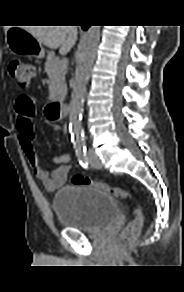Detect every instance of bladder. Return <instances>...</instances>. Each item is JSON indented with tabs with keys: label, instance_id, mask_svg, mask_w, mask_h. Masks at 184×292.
I'll return each instance as SVG.
<instances>
[{
	"label": "bladder",
	"instance_id": "obj_1",
	"mask_svg": "<svg viewBox=\"0 0 184 292\" xmlns=\"http://www.w3.org/2000/svg\"><path fill=\"white\" fill-rule=\"evenodd\" d=\"M53 211L60 224L86 233H99L118 217L110 194L90 185H66L55 194Z\"/></svg>",
	"mask_w": 184,
	"mask_h": 292
}]
</instances>
